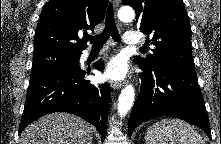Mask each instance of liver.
<instances>
[{
    "instance_id": "obj_1",
    "label": "liver",
    "mask_w": 221,
    "mask_h": 144,
    "mask_svg": "<svg viewBox=\"0 0 221 144\" xmlns=\"http://www.w3.org/2000/svg\"><path fill=\"white\" fill-rule=\"evenodd\" d=\"M19 144H92V126L72 114L52 113L26 127Z\"/></svg>"
}]
</instances>
